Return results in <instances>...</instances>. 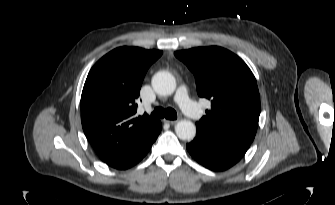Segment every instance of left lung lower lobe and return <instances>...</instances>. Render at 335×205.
I'll use <instances>...</instances> for the list:
<instances>
[{"mask_svg":"<svg viewBox=\"0 0 335 205\" xmlns=\"http://www.w3.org/2000/svg\"><path fill=\"white\" fill-rule=\"evenodd\" d=\"M196 138L186 145L187 150L204 167L223 171L236 164L250 144L216 135L196 126Z\"/></svg>","mask_w":335,"mask_h":205,"instance_id":"0a47b994","label":"left lung lower lobe"}]
</instances>
